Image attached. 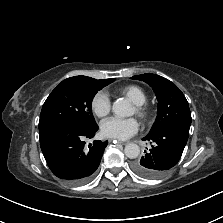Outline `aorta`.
I'll list each match as a JSON object with an SVG mask.
<instances>
[{
	"label": "aorta",
	"mask_w": 223,
	"mask_h": 223,
	"mask_svg": "<svg viewBox=\"0 0 223 223\" xmlns=\"http://www.w3.org/2000/svg\"><path fill=\"white\" fill-rule=\"evenodd\" d=\"M112 111L118 117H129L133 114L131 105L123 99H118L113 103ZM124 153L128 158L135 159L140 154V148L135 143H129L125 146Z\"/></svg>",
	"instance_id": "obj_1"
}]
</instances>
